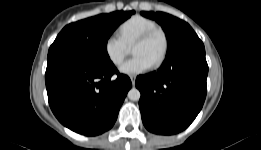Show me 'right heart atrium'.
Listing matches in <instances>:
<instances>
[{
  "instance_id": "right-heart-atrium-1",
  "label": "right heart atrium",
  "mask_w": 261,
  "mask_h": 150,
  "mask_svg": "<svg viewBox=\"0 0 261 150\" xmlns=\"http://www.w3.org/2000/svg\"><path fill=\"white\" fill-rule=\"evenodd\" d=\"M130 48L115 34L107 37L104 43V51L109 61L119 66L128 55Z\"/></svg>"
}]
</instances>
